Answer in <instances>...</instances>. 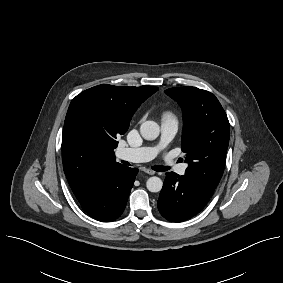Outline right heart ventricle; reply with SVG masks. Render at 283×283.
<instances>
[{"label": "right heart ventricle", "instance_id": "right-heart-ventricle-1", "mask_svg": "<svg viewBox=\"0 0 283 283\" xmlns=\"http://www.w3.org/2000/svg\"><path fill=\"white\" fill-rule=\"evenodd\" d=\"M163 118H173L174 119V116L172 113L168 112L164 114Z\"/></svg>", "mask_w": 283, "mask_h": 283}]
</instances>
